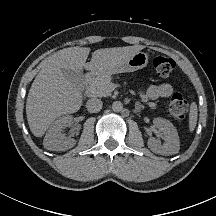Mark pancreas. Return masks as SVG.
<instances>
[{
  "label": "pancreas",
  "instance_id": "pancreas-1",
  "mask_svg": "<svg viewBox=\"0 0 216 216\" xmlns=\"http://www.w3.org/2000/svg\"><path fill=\"white\" fill-rule=\"evenodd\" d=\"M111 80L112 78L110 75H103L94 78L89 82L87 87L88 93L93 97H106L111 95V92L113 91ZM140 96L142 101L150 108L154 109L156 107L154 102H148L147 97L143 93H141Z\"/></svg>",
  "mask_w": 216,
  "mask_h": 216
}]
</instances>
